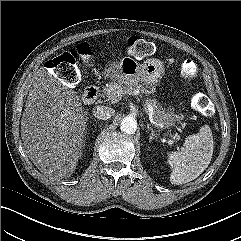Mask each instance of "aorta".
<instances>
[{"instance_id":"obj_1","label":"aorta","mask_w":241,"mask_h":241,"mask_svg":"<svg viewBox=\"0 0 241 241\" xmlns=\"http://www.w3.org/2000/svg\"><path fill=\"white\" fill-rule=\"evenodd\" d=\"M120 129L127 134H133L137 130V121L133 117H125L121 121Z\"/></svg>"}]
</instances>
